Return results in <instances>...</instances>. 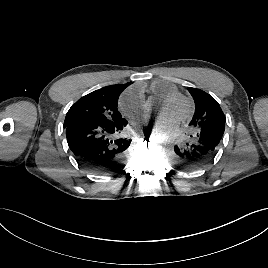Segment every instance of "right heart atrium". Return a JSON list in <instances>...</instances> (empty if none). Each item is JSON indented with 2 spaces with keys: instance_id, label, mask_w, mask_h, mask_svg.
Segmentation results:
<instances>
[{
  "instance_id": "1",
  "label": "right heart atrium",
  "mask_w": 268,
  "mask_h": 268,
  "mask_svg": "<svg viewBox=\"0 0 268 268\" xmlns=\"http://www.w3.org/2000/svg\"><path fill=\"white\" fill-rule=\"evenodd\" d=\"M119 109L127 117L145 112L146 106L141 92L134 88L125 90L119 98Z\"/></svg>"
}]
</instances>
